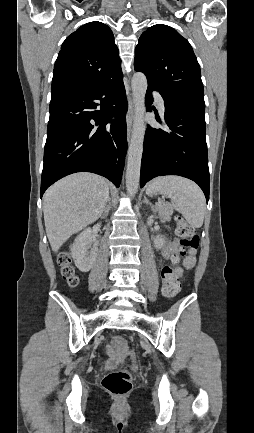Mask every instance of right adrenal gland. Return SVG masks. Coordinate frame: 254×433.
<instances>
[{
  "label": "right adrenal gland",
  "instance_id": "obj_1",
  "mask_svg": "<svg viewBox=\"0 0 254 433\" xmlns=\"http://www.w3.org/2000/svg\"><path fill=\"white\" fill-rule=\"evenodd\" d=\"M111 209V199H108V204L106 206V208L104 209V213L102 215V217H106L109 214V211Z\"/></svg>",
  "mask_w": 254,
  "mask_h": 433
}]
</instances>
